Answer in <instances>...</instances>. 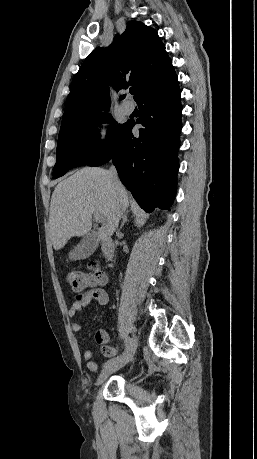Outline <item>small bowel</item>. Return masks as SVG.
Returning a JSON list of instances; mask_svg holds the SVG:
<instances>
[{
	"instance_id": "c3829d8e",
	"label": "small bowel",
	"mask_w": 257,
	"mask_h": 459,
	"mask_svg": "<svg viewBox=\"0 0 257 459\" xmlns=\"http://www.w3.org/2000/svg\"><path fill=\"white\" fill-rule=\"evenodd\" d=\"M96 301L100 305H106L109 302V295L102 287H94L88 290L81 298H77L69 308L68 315L70 318L76 317L79 312H83L87 309L89 304ZM71 329L74 332L81 330V324L79 322H72ZM95 340L100 346L101 352L111 357L116 354V349L110 346V338L108 333L104 329H99L95 333ZM83 358L86 362L87 368L91 372H97L98 367L94 361L93 353L91 350L86 349L83 352Z\"/></svg>"
}]
</instances>
